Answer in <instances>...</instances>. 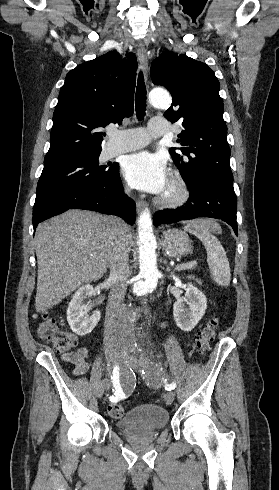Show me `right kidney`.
Returning a JSON list of instances; mask_svg holds the SVG:
<instances>
[{
    "label": "right kidney",
    "instance_id": "right-kidney-1",
    "mask_svg": "<svg viewBox=\"0 0 279 490\" xmlns=\"http://www.w3.org/2000/svg\"><path fill=\"white\" fill-rule=\"evenodd\" d=\"M94 288L91 284H85L79 290H76L74 296H72L71 302L67 308V322L74 334L77 336H86L94 330L97 326L101 314L100 312H93L92 316H88V306L84 304V300H88L93 296Z\"/></svg>",
    "mask_w": 279,
    "mask_h": 490
}]
</instances>
